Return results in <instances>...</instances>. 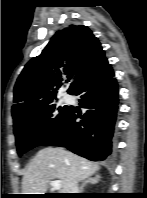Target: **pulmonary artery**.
Wrapping results in <instances>:
<instances>
[{
	"instance_id": "pulmonary-artery-1",
	"label": "pulmonary artery",
	"mask_w": 147,
	"mask_h": 198,
	"mask_svg": "<svg viewBox=\"0 0 147 198\" xmlns=\"http://www.w3.org/2000/svg\"><path fill=\"white\" fill-rule=\"evenodd\" d=\"M63 99L64 101H69L70 97L68 95H64Z\"/></svg>"
}]
</instances>
